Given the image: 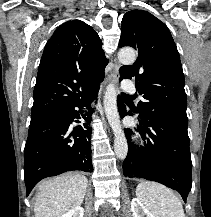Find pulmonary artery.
Segmentation results:
<instances>
[{
  "mask_svg": "<svg viewBox=\"0 0 211 217\" xmlns=\"http://www.w3.org/2000/svg\"><path fill=\"white\" fill-rule=\"evenodd\" d=\"M122 88L124 91H126L128 93H134L135 92V85L130 80H124L122 82Z\"/></svg>",
  "mask_w": 211,
  "mask_h": 217,
  "instance_id": "obj_1",
  "label": "pulmonary artery"
}]
</instances>
